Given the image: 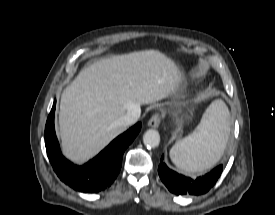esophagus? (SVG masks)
Returning <instances> with one entry per match:
<instances>
[{
    "instance_id": "1",
    "label": "esophagus",
    "mask_w": 275,
    "mask_h": 215,
    "mask_svg": "<svg viewBox=\"0 0 275 215\" xmlns=\"http://www.w3.org/2000/svg\"><path fill=\"white\" fill-rule=\"evenodd\" d=\"M161 121V115L159 113H155L148 121L147 125L151 128H157Z\"/></svg>"
}]
</instances>
